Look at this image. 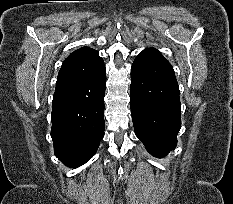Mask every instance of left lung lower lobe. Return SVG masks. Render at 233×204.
<instances>
[{
  "mask_svg": "<svg viewBox=\"0 0 233 204\" xmlns=\"http://www.w3.org/2000/svg\"><path fill=\"white\" fill-rule=\"evenodd\" d=\"M130 94L136 136L153 156L166 155L177 145L181 105L173 67L158 50L145 49L135 58Z\"/></svg>",
  "mask_w": 233,
  "mask_h": 204,
  "instance_id": "obj_1",
  "label": "left lung lower lobe"
}]
</instances>
